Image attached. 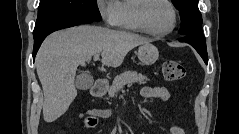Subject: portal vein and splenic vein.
Wrapping results in <instances>:
<instances>
[{"instance_id":"portal-vein-and-splenic-vein-1","label":"portal vein and splenic vein","mask_w":239,"mask_h":134,"mask_svg":"<svg viewBox=\"0 0 239 134\" xmlns=\"http://www.w3.org/2000/svg\"><path fill=\"white\" fill-rule=\"evenodd\" d=\"M98 59H99V54H95L94 57H93V60L97 61Z\"/></svg>"}]
</instances>
